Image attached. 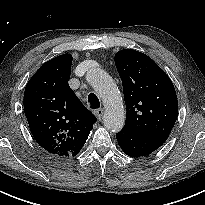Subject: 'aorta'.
Masks as SVG:
<instances>
[{
	"mask_svg": "<svg viewBox=\"0 0 205 205\" xmlns=\"http://www.w3.org/2000/svg\"><path fill=\"white\" fill-rule=\"evenodd\" d=\"M86 79L103 100L105 106L104 126L112 132L120 131L125 123V112L121 94L113 79L100 68L89 70Z\"/></svg>",
	"mask_w": 205,
	"mask_h": 205,
	"instance_id": "1",
	"label": "aorta"
}]
</instances>
